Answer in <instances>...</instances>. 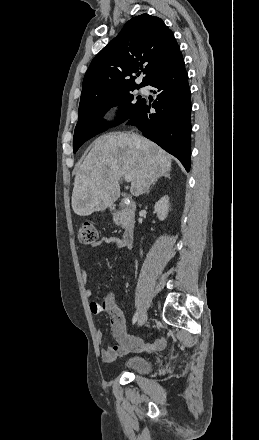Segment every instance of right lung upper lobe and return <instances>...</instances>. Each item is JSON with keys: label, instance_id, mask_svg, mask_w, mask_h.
Listing matches in <instances>:
<instances>
[{"label": "right lung upper lobe", "instance_id": "1", "mask_svg": "<svg viewBox=\"0 0 259 440\" xmlns=\"http://www.w3.org/2000/svg\"><path fill=\"white\" fill-rule=\"evenodd\" d=\"M181 54L171 30L158 17L142 14L92 60L83 80L79 108L116 92L148 85L156 73ZM143 69L140 85L135 74Z\"/></svg>", "mask_w": 259, "mask_h": 440}]
</instances>
